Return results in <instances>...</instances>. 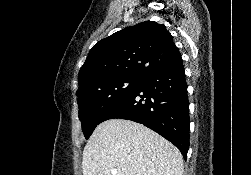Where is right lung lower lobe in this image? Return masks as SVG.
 Returning <instances> with one entry per match:
<instances>
[{"mask_svg": "<svg viewBox=\"0 0 251 175\" xmlns=\"http://www.w3.org/2000/svg\"><path fill=\"white\" fill-rule=\"evenodd\" d=\"M121 118L141 123L172 142L187 157L189 101L183 63L154 71L101 118Z\"/></svg>", "mask_w": 251, "mask_h": 175, "instance_id": "right-lung-lower-lobe-1", "label": "right lung lower lobe"}]
</instances>
